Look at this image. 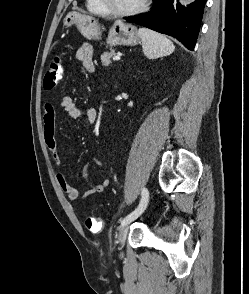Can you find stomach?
<instances>
[{
    "mask_svg": "<svg viewBox=\"0 0 249 294\" xmlns=\"http://www.w3.org/2000/svg\"><path fill=\"white\" fill-rule=\"evenodd\" d=\"M64 26L76 25L80 33L87 39H101L102 30L98 21L91 16L78 12H70L64 18ZM140 41L137 28L131 24H125L117 20L110 27L107 37V44L111 47L117 45H136Z\"/></svg>",
    "mask_w": 249,
    "mask_h": 294,
    "instance_id": "stomach-1",
    "label": "stomach"
}]
</instances>
